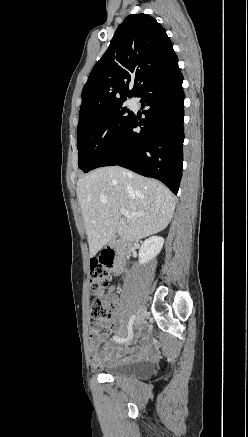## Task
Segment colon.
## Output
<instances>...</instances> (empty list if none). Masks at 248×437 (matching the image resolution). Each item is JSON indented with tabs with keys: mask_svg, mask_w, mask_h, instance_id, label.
Returning a JSON list of instances; mask_svg holds the SVG:
<instances>
[{
	"mask_svg": "<svg viewBox=\"0 0 248 437\" xmlns=\"http://www.w3.org/2000/svg\"><path fill=\"white\" fill-rule=\"evenodd\" d=\"M112 265L107 257H100V255L90 261V285L95 294L90 311L96 324L103 323L106 319L105 305L98 295L108 284L109 270Z\"/></svg>",
	"mask_w": 248,
	"mask_h": 437,
	"instance_id": "obj_1",
	"label": "colon"
}]
</instances>
